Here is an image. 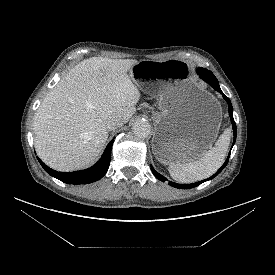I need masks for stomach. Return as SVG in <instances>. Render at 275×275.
Here are the masks:
<instances>
[{"label":"stomach","instance_id":"1","mask_svg":"<svg viewBox=\"0 0 275 275\" xmlns=\"http://www.w3.org/2000/svg\"><path fill=\"white\" fill-rule=\"evenodd\" d=\"M183 60H141L130 69L133 82L156 89L160 112L153 114L152 149L163 164L187 163L201 158L215 142L221 107L193 82Z\"/></svg>","mask_w":275,"mask_h":275}]
</instances>
